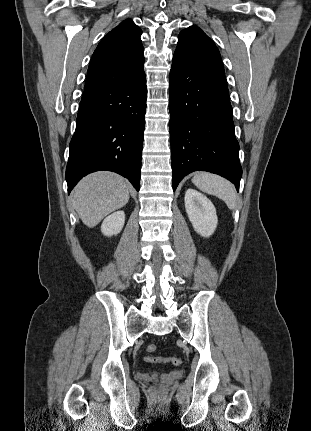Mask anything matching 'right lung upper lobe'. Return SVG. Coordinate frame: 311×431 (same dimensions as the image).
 Wrapping results in <instances>:
<instances>
[{
  "label": "right lung upper lobe",
  "instance_id": "1",
  "mask_svg": "<svg viewBox=\"0 0 311 431\" xmlns=\"http://www.w3.org/2000/svg\"><path fill=\"white\" fill-rule=\"evenodd\" d=\"M142 30L131 20L122 21L99 43L91 58L85 90L133 76L144 64Z\"/></svg>",
  "mask_w": 311,
  "mask_h": 431
}]
</instances>
